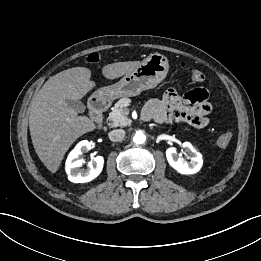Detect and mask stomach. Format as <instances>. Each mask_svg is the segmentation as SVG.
<instances>
[{
  "label": "stomach",
  "mask_w": 261,
  "mask_h": 261,
  "mask_svg": "<svg viewBox=\"0 0 261 261\" xmlns=\"http://www.w3.org/2000/svg\"><path fill=\"white\" fill-rule=\"evenodd\" d=\"M168 70L169 63L164 55L151 54L115 84L98 89L93 97L114 100L121 97L137 96L144 90L156 87L165 79Z\"/></svg>",
  "instance_id": "1"
}]
</instances>
